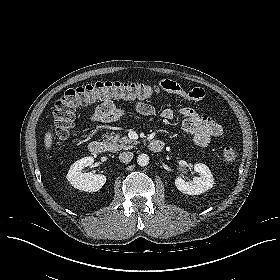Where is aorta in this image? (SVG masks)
<instances>
[{"instance_id":"obj_1","label":"aorta","mask_w":280,"mask_h":280,"mask_svg":"<svg viewBox=\"0 0 280 280\" xmlns=\"http://www.w3.org/2000/svg\"><path fill=\"white\" fill-rule=\"evenodd\" d=\"M137 163L140 166H147L149 164V157L147 154H140L137 157Z\"/></svg>"}]
</instances>
